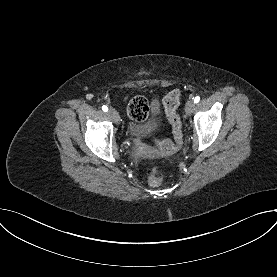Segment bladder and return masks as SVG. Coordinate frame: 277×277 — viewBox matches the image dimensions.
Here are the masks:
<instances>
[{
	"label": "bladder",
	"instance_id": "31cf9c89",
	"mask_svg": "<svg viewBox=\"0 0 277 277\" xmlns=\"http://www.w3.org/2000/svg\"><path fill=\"white\" fill-rule=\"evenodd\" d=\"M162 124L161 112L158 102L154 101L150 107L149 118L144 122H130L128 132L132 137L142 138L158 129Z\"/></svg>",
	"mask_w": 277,
	"mask_h": 277
}]
</instances>
